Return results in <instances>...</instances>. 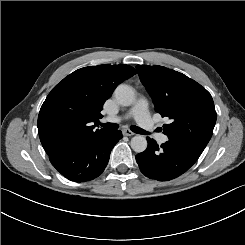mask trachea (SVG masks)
Here are the masks:
<instances>
[{
    "instance_id": "obj_1",
    "label": "trachea",
    "mask_w": 245,
    "mask_h": 245,
    "mask_svg": "<svg viewBox=\"0 0 245 245\" xmlns=\"http://www.w3.org/2000/svg\"><path fill=\"white\" fill-rule=\"evenodd\" d=\"M100 125L102 127H104L105 129H109V130H116L119 128V125L114 124V123H105V124L100 123ZM130 130L133 131L134 133H137V134H145L146 133L143 129H141L140 127H137L135 125H131Z\"/></svg>"
}]
</instances>
